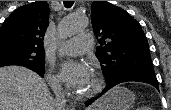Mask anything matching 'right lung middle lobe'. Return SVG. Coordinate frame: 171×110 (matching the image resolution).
<instances>
[{
  "label": "right lung middle lobe",
  "mask_w": 171,
  "mask_h": 110,
  "mask_svg": "<svg viewBox=\"0 0 171 110\" xmlns=\"http://www.w3.org/2000/svg\"><path fill=\"white\" fill-rule=\"evenodd\" d=\"M44 56V50H36L9 42L0 43V67L8 65L24 66L43 76Z\"/></svg>",
  "instance_id": "1"
}]
</instances>
